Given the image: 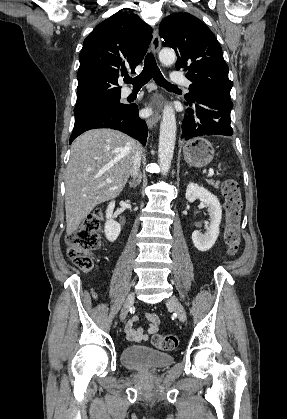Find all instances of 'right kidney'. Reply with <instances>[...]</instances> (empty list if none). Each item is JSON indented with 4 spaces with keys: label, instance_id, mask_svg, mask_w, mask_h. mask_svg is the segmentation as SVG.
<instances>
[{
    "label": "right kidney",
    "instance_id": "obj_1",
    "mask_svg": "<svg viewBox=\"0 0 287 419\" xmlns=\"http://www.w3.org/2000/svg\"><path fill=\"white\" fill-rule=\"evenodd\" d=\"M114 208L115 202L112 201L109 203L106 210L107 220L105 223L104 232L107 240L110 242H114L121 232V225L112 218Z\"/></svg>",
    "mask_w": 287,
    "mask_h": 419
}]
</instances>
